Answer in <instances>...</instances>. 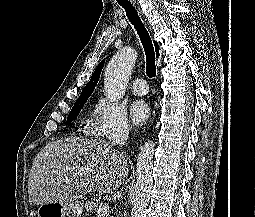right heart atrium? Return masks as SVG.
<instances>
[{
    "label": "right heart atrium",
    "instance_id": "1",
    "mask_svg": "<svg viewBox=\"0 0 255 217\" xmlns=\"http://www.w3.org/2000/svg\"><path fill=\"white\" fill-rule=\"evenodd\" d=\"M86 129L88 134L103 138H116L128 134L129 122L125 108L117 102L100 98L95 104Z\"/></svg>",
    "mask_w": 255,
    "mask_h": 217
}]
</instances>
